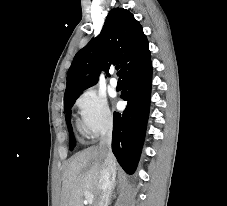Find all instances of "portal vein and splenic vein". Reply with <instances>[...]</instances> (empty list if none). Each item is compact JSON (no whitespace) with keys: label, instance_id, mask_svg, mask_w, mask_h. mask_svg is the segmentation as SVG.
I'll list each match as a JSON object with an SVG mask.
<instances>
[{"label":"portal vein and splenic vein","instance_id":"18ae733b","mask_svg":"<svg viewBox=\"0 0 227 206\" xmlns=\"http://www.w3.org/2000/svg\"><path fill=\"white\" fill-rule=\"evenodd\" d=\"M85 199L88 203H92L94 200V196L90 192H85Z\"/></svg>","mask_w":227,"mask_h":206}]
</instances>
